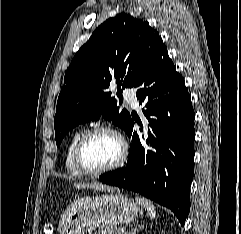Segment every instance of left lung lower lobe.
<instances>
[{
    "mask_svg": "<svg viewBox=\"0 0 241 234\" xmlns=\"http://www.w3.org/2000/svg\"><path fill=\"white\" fill-rule=\"evenodd\" d=\"M134 88L147 118L145 135L133 132L130 116L125 130L132 138L127 164L99 179L168 207L183 226L194 175L195 113L184 79L167 48L158 52ZM135 121L143 130L142 122Z\"/></svg>",
    "mask_w": 241,
    "mask_h": 234,
    "instance_id": "left-lung-lower-lobe-1",
    "label": "left lung lower lobe"
}]
</instances>
